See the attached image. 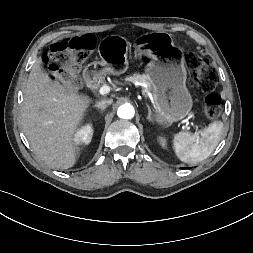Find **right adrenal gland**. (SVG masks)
<instances>
[{
  "mask_svg": "<svg viewBox=\"0 0 253 253\" xmlns=\"http://www.w3.org/2000/svg\"><path fill=\"white\" fill-rule=\"evenodd\" d=\"M93 108H96V109L100 110L103 113L106 107H104V106L100 107L98 105H94Z\"/></svg>",
  "mask_w": 253,
  "mask_h": 253,
  "instance_id": "obj_1",
  "label": "right adrenal gland"
}]
</instances>
